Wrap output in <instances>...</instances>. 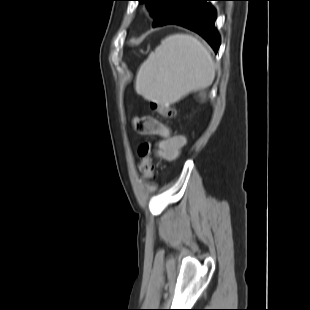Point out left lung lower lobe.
<instances>
[{
    "mask_svg": "<svg viewBox=\"0 0 310 310\" xmlns=\"http://www.w3.org/2000/svg\"><path fill=\"white\" fill-rule=\"evenodd\" d=\"M213 0H187L170 24L188 28L201 35L217 53L220 38L215 28L216 12L208 3Z\"/></svg>",
    "mask_w": 310,
    "mask_h": 310,
    "instance_id": "obj_1",
    "label": "left lung lower lobe"
}]
</instances>
